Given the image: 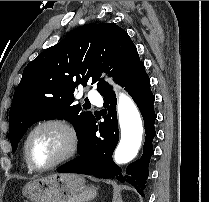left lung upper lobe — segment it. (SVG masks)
Listing matches in <instances>:
<instances>
[{
    "mask_svg": "<svg viewBox=\"0 0 209 202\" xmlns=\"http://www.w3.org/2000/svg\"><path fill=\"white\" fill-rule=\"evenodd\" d=\"M141 63L136 46L116 24L91 23L74 29L25 67L9 112L12 151L27 129L41 120L66 118L78 141L82 139L94 115L72 105L75 87L92 81L103 95L111 87L100 79V72L118 83Z\"/></svg>",
    "mask_w": 209,
    "mask_h": 202,
    "instance_id": "1",
    "label": "left lung upper lobe"
}]
</instances>
